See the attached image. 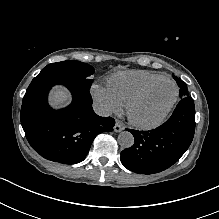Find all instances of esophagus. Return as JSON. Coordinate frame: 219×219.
Listing matches in <instances>:
<instances>
[{
  "label": "esophagus",
  "instance_id": "1",
  "mask_svg": "<svg viewBox=\"0 0 219 219\" xmlns=\"http://www.w3.org/2000/svg\"><path fill=\"white\" fill-rule=\"evenodd\" d=\"M123 130H124V126L121 123L116 122L114 126V131L119 133V132H122Z\"/></svg>",
  "mask_w": 219,
  "mask_h": 219
}]
</instances>
